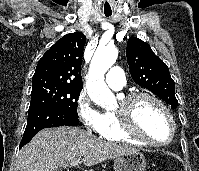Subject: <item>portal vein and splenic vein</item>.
I'll use <instances>...</instances> for the list:
<instances>
[{"instance_id":"obj_1","label":"portal vein and splenic vein","mask_w":199,"mask_h":171,"mask_svg":"<svg viewBox=\"0 0 199 171\" xmlns=\"http://www.w3.org/2000/svg\"><path fill=\"white\" fill-rule=\"evenodd\" d=\"M79 163V159H76L70 163L71 166H76Z\"/></svg>"}]
</instances>
